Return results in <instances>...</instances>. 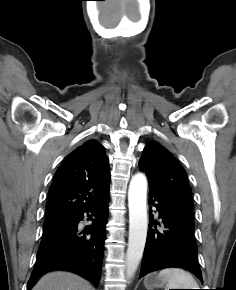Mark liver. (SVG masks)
Instances as JSON below:
<instances>
[{
    "label": "liver",
    "mask_w": 236,
    "mask_h": 290,
    "mask_svg": "<svg viewBox=\"0 0 236 290\" xmlns=\"http://www.w3.org/2000/svg\"><path fill=\"white\" fill-rule=\"evenodd\" d=\"M32 290H94L88 281L73 273L56 271L45 274Z\"/></svg>",
    "instance_id": "liver-1"
}]
</instances>
